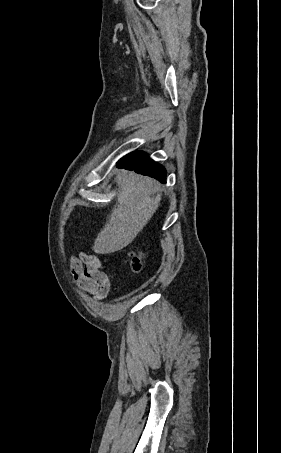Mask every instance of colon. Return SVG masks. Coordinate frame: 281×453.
<instances>
[{
	"instance_id": "5ec220e1",
	"label": "colon",
	"mask_w": 281,
	"mask_h": 453,
	"mask_svg": "<svg viewBox=\"0 0 281 453\" xmlns=\"http://www.w3.org/2000/svg\"><path fill=\"white\" fill-rule=\"evenodd\" d=\"M136 251L138 255H134L133 257V262H132V267L134 270H141L142 264H141V256L144 254L145 250L142 245H138L136 248Z\"/></svg>"
}]
</instances>
